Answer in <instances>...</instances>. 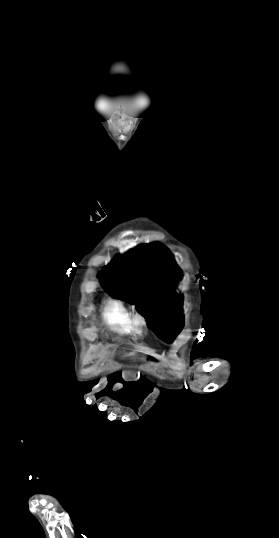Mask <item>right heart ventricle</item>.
<instances>
[{
  "label": "right heart ventricle",
  "instance_id": "1",
  "mask_svg": "<svg viewBox=\"0 0 279 538\" xmlns=\"http://www.w3.org/2000/svg\"><path fill=\"white\" fill-rule=\"evenodd\" d=\"M106 219L101 209H96L95 214L82 225L83 232L99 234ZM132 317V312L120 300H110L103 309V318L106 324L120 334L131 333Z\"/></svg>",
  "mask_w": 279,
  "mask_h": 538
}]
</instances>
